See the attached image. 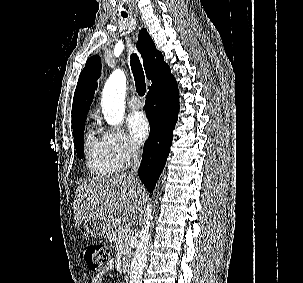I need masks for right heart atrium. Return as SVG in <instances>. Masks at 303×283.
<instances>
[{"label": "right heart atrium", "instance_id": "obj_1", "mask_svg": "<svg viewBox=\"0 0 303 283\" xmlns=\"http://www.w3.org/2000/svg\"><path fill=\"white\" fill-rule=\"evenodd\" d=\"M102 139L110 154L122 166L129 164L140 154L139 146L122 130L106 129Z\"/></svg>", "mask_w": 303, "mask_h": 283}]
</instances>
